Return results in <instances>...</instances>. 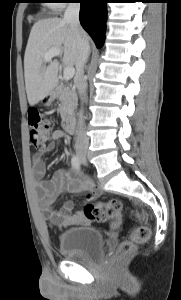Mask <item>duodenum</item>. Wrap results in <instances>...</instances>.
I'll list each match as a JSON object with an SVG mask.
<instances>
[{
  "label": "duodenum",
  "mask_w": 181,
  "mask_h": 300,
  "mask_svg": "<svg viewBox=\"0 0 181 300\" xmlns=\"http://www.w3.org/2000/svg\"><path fill=\"white\" fill-rule=\"evenodd\" d=\"M50 96L54 97V92H52ZM63 127L68 134H72L74 132V121L71 116H65L63 120Z\"/></svg>",
  "instance_id": "duodenum-1"
}]
</instances>
